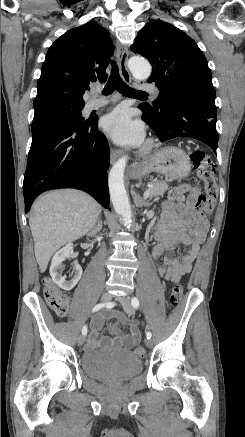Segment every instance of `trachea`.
I'll return each mask as SVG.
<instances>
[{
	"instance_id": "trachea-1",
	"label": "trachea",
	"mask_w": 245,
	"mask_h": 437,
	"mask_svg": "<svg viewBox=\"0 0 245 437\" xmlns=\"http://www.w3.org/2000/svg\"><path fill=\"white\" fill-rule=\"evenodd\" d=\"M117 90L121 94L129 97H136L141 95H147L146 92L135 90L131 87H129L120 77L118 65L115 60L112 62V70L111 74L109 76V79L102 91L103 95H110L114 92V90Z\"/></svg>"
}]
</instances>
